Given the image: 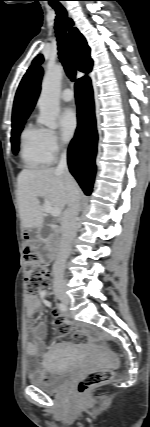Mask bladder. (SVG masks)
<instances>
[{
	"mask_svg": "<svg viewBox=\"0 0 150 427\" xmlns=\"http://www.w3.org/2000/svg\"><path fill=\"white\" fill-rule=\"evenodd\" d=\"M45 376L41 380H33L32 384L45 393H57L64 388L74 373V367L53 366L47 364Z\"/></svg>",
	"mask_w": 150,
	"mask_h": 427,
	"instance_id": "bladder-1",
	"label": "bladder"
}]
</instances>
